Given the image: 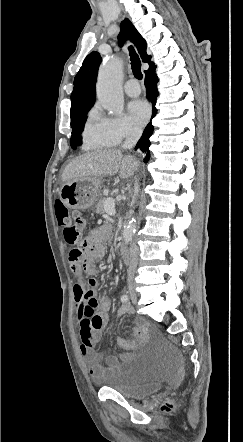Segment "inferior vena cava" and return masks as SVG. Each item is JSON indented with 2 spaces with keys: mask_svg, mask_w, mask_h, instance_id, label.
Segmentation results:
<instances>
[{
  "mask_svg": "<svg viewBox=\"0 0 243 442\" xmlns=\"http://www.w3.org/2000/svg\"><path fill=\"white\" fill-rule=\"evenodd\" d=\"M142 130L137 127H132L127 138L125 139L122 148L123 149H132L134 145L137 143L139 138L141 137ZM135 194H138L139 185L137 179L134 184ZM139 249L135 242L131 244L130 247V262L128 267V277L132 278L136 271L137 263H138Z\"/></svg>",
  "mask_w": 243,
  "mask_h": 442,
  "instance_id": "obj_1",
  "label": "inferior vena cava"
}]
</instances>
